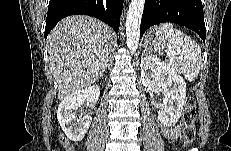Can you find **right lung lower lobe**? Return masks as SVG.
Segmentation results:
<instances>
[{
	"label": "right lung lower lobe",
	"instance_id": "1",
	"mask_svg": "<svg viewBox=\"0 0 231 151\" xmlns=\"http://www.w3.org/2000/svg\"><path fill=\"white\" fill-rule=\"evenodd\" d=\"M123 0H50L45 26V38L56 24L70 15H89L119 29Z\"/></svg>",
	"mask_w": 231,
	"mask_h": 151
}]
</instances>
